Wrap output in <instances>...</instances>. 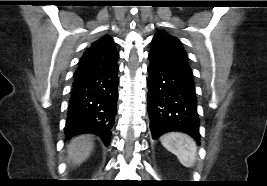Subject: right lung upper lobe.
Instances as JSON below:
<instances>
[{"mask_svg": "<svg viewBox=\"0 0 267 186\" xmlns=\"http://www.w3.org/2000/svg\"><path fill=\"white\" fill-rule=\"evenodd\" d=\"M119 53L115 42L110 36H105L93 42L81 57L75 74L104 67L117 61Z\"/></svg>", "mask_w": 267, "mask_h": 186, "instance_id": "right-lung-upper-lobe-1", "label": "right lung upper lobe"}]
</instances>
